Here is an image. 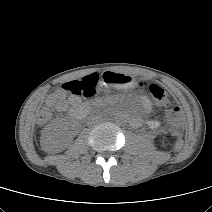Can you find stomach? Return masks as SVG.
I'll return each mask as SVG.
<instances>
[{"label": "stomach", "instance_id": "1", "mask_svg": "<svg viewBox=\"0 0 212 212\" xmlns=\"http://www.w3.org/2000/svg\"><path fill=\"white\" fill-rule=\"evenodd\" d=\"M103 82L108 87L129 88L133 84V78L126 74L108 72L104 75Z\"/></svg>", "mask_w": 212, "mask_h": 212}]
</instances>
